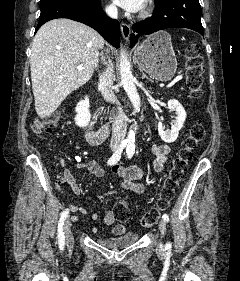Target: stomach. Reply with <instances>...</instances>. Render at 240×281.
Returning <instances> with one entry per match:
<instances>
[{
  "mask_svg": "<svg viewBox=\"0 0 240 281\" xmlns=\"http://www.w3.org/2000/svg\"><path fill=\"white\" fill-rule=\"evenodd\" d=\"M134 56L139 68L158 81H168L176 72L177 59L171 37L165 31L147 37L135 49Z\"/></svg>",
  "mask_w": 240,
  "mask_h": 281,
  "instance_id": "0dacf381",
  "label": "stomach"
}]
</instances>
